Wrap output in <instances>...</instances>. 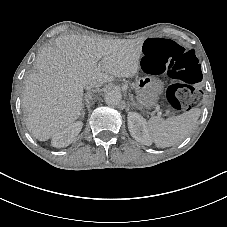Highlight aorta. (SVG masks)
Here are the masks:
<instances>
[{"label": "aorta", "mask_w": 227, "mask_h": 227, "mask_svg": "<svg viewBox=\"0 0 227 227\" xmlns=\"http://www.w3.org/2000/svg\"><path fill=\"white\" fill-rule=\"evenodd\" d=\"M104 100L107 105H118L122 100V95L119 91L111 90L105 94Z\"/></svg>", "instance_id": "obj_1"}]
</instances>
